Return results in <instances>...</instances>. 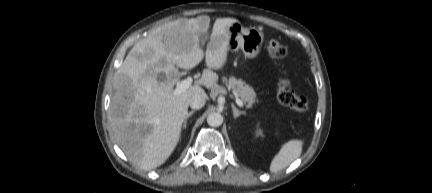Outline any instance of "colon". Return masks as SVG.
Listing matches in <instances>:
<instances>
[{
    "label": "colon",
    "instance_id": "5ec220e1",
    "mask_svg": "<svg viewBox=\"0 0 432 193\" xmlns=\"http://www.w3.org/2000/svg\"><path fill=\"white\" fill-rule=\"evenodd\" d=\"M265 50L272 59H282L287 54L286 47L277 39L267 42ZM277 97L279 102L298 112H305L310 108V101L305 95L296 94L287 78H282L278 82Z\"/></svg>",
    "mask_w": 432,
    "mask_h": 193
}]
</instances>
